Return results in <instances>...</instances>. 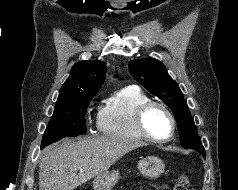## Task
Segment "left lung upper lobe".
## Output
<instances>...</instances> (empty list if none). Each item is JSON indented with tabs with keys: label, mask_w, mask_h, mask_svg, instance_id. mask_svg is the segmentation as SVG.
I'll use <instances>...</instances> for the list:
<instances>
[{
	"label": "left lung upper lobe",
	"mask_w": 238,
	"mask_h": 190,
	"mask_svg": "<svg viewBox=\"0 0 238 190\" xmlns=\"http://www.w3.org/2000/svg\"><path fill=\"white\" fill-rule=\"evenodd\" d=\"M129 71L139 83L163 100L173 111L178 123L181 145L184 148L195 149L205 157V149L199 139L187 102L163 63L153 58L133 60L129 63Z\"/></svg>",
	"instance_id": "obj_1"
}]
</instances>
